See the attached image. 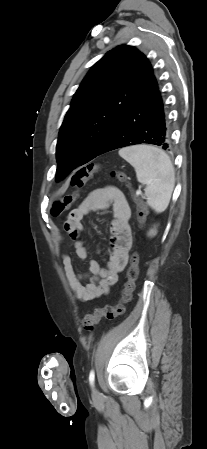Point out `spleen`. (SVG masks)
Wrapping results in <instances>:
<instances>
[{"label":"spleen","mask_w":207,"mask_h":449,"mask_svg":"<svg viewBox=\"0 0 207 449\" xmlns=\"http://www.w3.org/2000/svg\"><path fill=\"white\" fill-rule=\"evenodd\" d=\"M119 155L134 167L138 182L146 185L147 204L157 213L165 211L175 184L170 157L150 145L126 147L119 150Z\"/></svg>","instance_id":"obj_1"}]
</instances>
